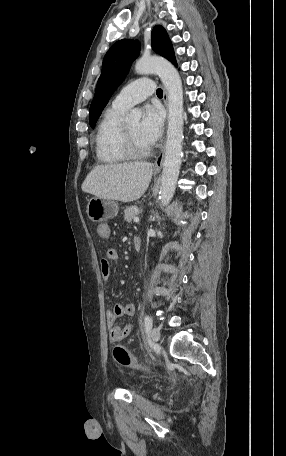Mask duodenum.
<instances>
[{
  "instance_id": "410a0bca",
  "label": "duodenum",
  "mask_w": 286,
  "mask_h": 456,
  "mask_svg": "<svg viewBox=\"0 0 286 456\" xmlns=\"http://www.w3.org/2000/svg\"><path fill=\"white\" fill-rule=\"evenodd\" d=\"M133 248L135 251H140L141 249V239L138 237L133 238L132 240Z\"/></svg>"
}]
</instances>
